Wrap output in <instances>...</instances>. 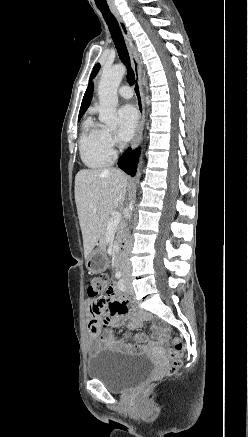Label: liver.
Wrapping results in <instances>:
<instances>
[{"label":"liver","instance_id":"6515ba94","mask_svg":"<svg viewBox=\"0 0 248 437\" xmlns=\"http://www.w3.org/2000/svg\"><path fill=\"white\" fill-rule=\"evenodd\" d=\"M128 177L116 169H82L75 177V202L85 258L102 237L111 212L122 206Z\"/></svg>","mask_w":248,"mask_h":437}]
</instances>
